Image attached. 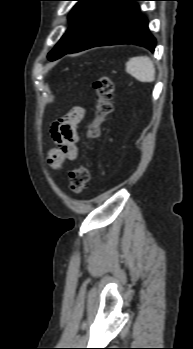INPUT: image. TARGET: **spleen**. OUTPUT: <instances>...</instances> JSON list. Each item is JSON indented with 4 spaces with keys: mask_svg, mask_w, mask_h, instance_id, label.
Returning <instances> with one entry per match:
<instances>
[{
    "mask_svg": "<svg viewBox=\"0 0 193 349\" xmlns=\"http://www.w3.org/2000/svg\"><path fill=\"white\" fill-rule=\"evenodd\" d=\"M126 72L141 82H153L155 80V67L147 56L132 57L126 63Z\"/></svg>",
    "mask_w": 193,
    "mask_h": 349,
    "instance_id": "spleen-1",
    "label": "spleen"
}]
</instances>
